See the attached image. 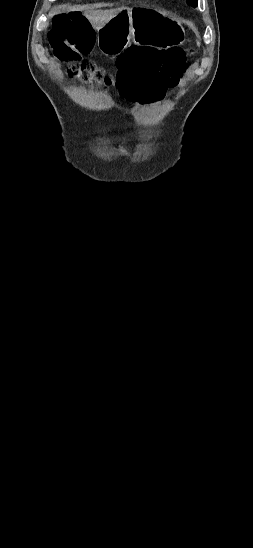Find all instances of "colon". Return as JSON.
Wrapping results in <instances>:
<instances>
[{"mask_svg": "<svg viewBox=\"0 0 253 548\" xmlns=\"http://www.w3.org/2000/svg\"><path fill=\"white\" fill-rule=\"evenodd\" d=\"M51 40L54 56L67 62V73L91 87H111L132 105H161L169 89L176 90L183 80L187 53L179 48L167 50L131 47L117 61L116 77L92 61L81 58L94 44V32L80 12L58 15L53 20ZM178 94L176 91L173 93Z\"/></svg>", "mask_w": 253, "mask_h": 548, "instance_id": "obj_1", "label": "colon"}]
</instances>
